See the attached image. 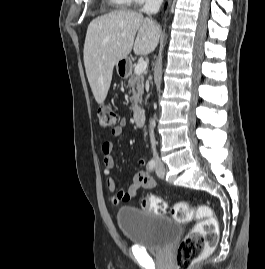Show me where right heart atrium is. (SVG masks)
Instances as JSON below:
<instances>
[{
    "instance_id": "right-heart-atrium-1",
    "label": "right heart atrium",
    "mask_w": 265,
    "mask_h": 269,
    "mask_svg": "<svg viewBox=\"0 0 265 269\" xmlns=\"http://www.w3.org/2000/svg\"><path fill=\"white\" fill-rule=\"evenodd\" d=\"M147 1H152V0H130L131 3L136 4V5L142 4Z\"/></svg>"
}]
</instances>
